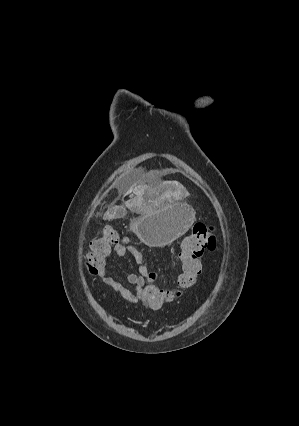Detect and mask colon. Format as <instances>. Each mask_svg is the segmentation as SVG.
I'll list each match as a JSON object with an SVG mask.
<instances>
[{"label": "colon", "instance_id": "5ec220e1", "mask_svg": "<svg viewBox=\"0 0 299 426\" xmlns=\"http://www.w3.org/2000/svg\"><path fill=\"white\" fill-rule=\"evenodd\" d=\"M123 243L119 231L110 225L103 226L101 236L91 242L90 251L86 256L85 263L88 271L94 275L99 274L112 249ZM216 248L217 236L214 227L205 223H196L191 233L184 236L180 242L181 273L177 280V287H162L156 273L150 271L149 280L143 288V298L149 308L159 309L180 298L185 290L193 287L201 271L199 258L205 251H214Z\"/></svg>", "mask_w": 299, "mask_h": 426}]
</instances>
